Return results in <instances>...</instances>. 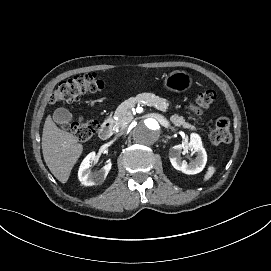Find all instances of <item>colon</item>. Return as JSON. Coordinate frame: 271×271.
Masks as SVG:
<instances>
[{
	"mask_svg": "<svg viewBox=\"0 0 271 271\" xmlns=\"http://www.w3.org/2000/svg\"><path fill=\"white\" fill-rule=\"evenodd\" d=\"M105 82L95 73L77 75L61 82L51 96L53 103H72L82 95L89 92L100 91ZM216 99L213 90L199 93L195 101L190 105V110L195 114L202 113L209 108ZM66 130L71 131L82 143L89 142L97 131L98 123L93 120L77 119L64 125ZM210 141L213 144H224L231 140L230 122L225 117L218 118L210 131Z\"/></svg>",
	"mask_w": 271,
	"mask_h": 271,
	"instance_id": "colon-1",
	"label": "colon"
}]
</instances>
